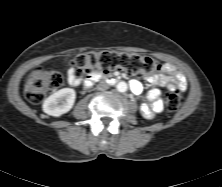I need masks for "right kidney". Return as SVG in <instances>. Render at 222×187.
Masks as SVG:
<instances>
[{
	"mask_svg": "<svg viewBox=\"0 0 222 187\" xmlns=\"http://www.w3.org/2000/svg\"><path fill=\"white\" fill-rule=\"evenodd\" d=\"M75 99L76 92L74 89L63 88L46 98L42 108L46 114L59 117L72 109Z\"/></svg>",
	"mask_w": 222,
	"mask_h": 187,
	"instance_id": "obj_1",
	"label": "right kidney"
}]
</instances>
